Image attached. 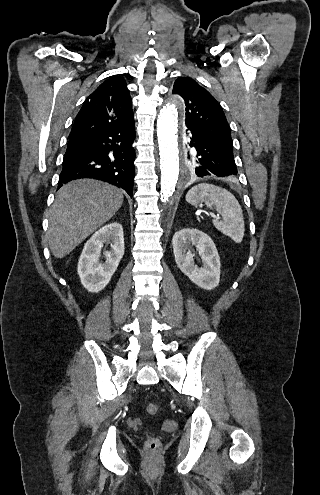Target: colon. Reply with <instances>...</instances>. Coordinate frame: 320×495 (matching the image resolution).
Here are the masks:
<instances>
[{
	"label": "colon",
	"mask_w": 320,
	"mask_h": 495,
	"mask_svg": "<svg viewBox=\"0 0 320 495\" xmlns=\"http://www.w3.org/2000/svg\"><path fill=\"white\" fill-rule=\"evenodd\" d=\"M160 411V405L157 402H151L147 405V413L151 416L157 415ZM160 447V441L156 437L149 436L146 440V449L150 452L156 451Z\"/></svg>",
	"instance_id": "1"
}]
</instances>
